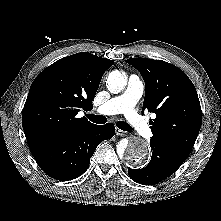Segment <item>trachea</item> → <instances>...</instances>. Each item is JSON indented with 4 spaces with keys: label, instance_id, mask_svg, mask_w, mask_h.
Wrapping results in <instances>:
<instances>
[{
    "label": "trachea",
    "instance_id": "trachea-1",
    "mask_svg": "<svg viewBox=\"0 0 221 221\" xmlns=\"http://www.w3.org/2000/svg\"><path fill=\"white\" fill-rule=\"evenodd\" d=\"M87 117L93 122V123H96V124H104L106 123L107 119L105 116H97V115H87ZM117 127L121 130H124V131H132V127L124 122V121H119L117 122Z\"/></svg>",
    "mask_w": 221,
    "mask_h": 221
}]
</instances>
